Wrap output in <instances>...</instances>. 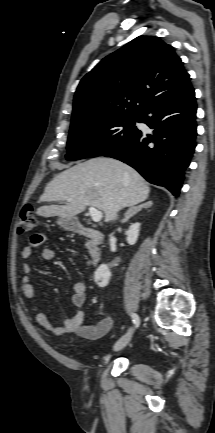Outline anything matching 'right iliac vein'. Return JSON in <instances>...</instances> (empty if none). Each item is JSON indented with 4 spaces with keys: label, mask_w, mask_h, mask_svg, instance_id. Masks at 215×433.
<instances>
[{
    "label": "right iliac vein",
    "mask_w": 215,
    "mask_h": 433,
    "mask_svg": "<svg viewBox=\"0 0 215 433\" xmlns=\"http://www.w3.org/2000/svg\"><path fill=\"white\" fill-rule=\"evenodd\" d=\"M133 329H130L124 336H122L113 346L114 351H120L127 346L132 337Z\"/></svg>",
    "instance_id": "63e3f726"
}]
</instances>
